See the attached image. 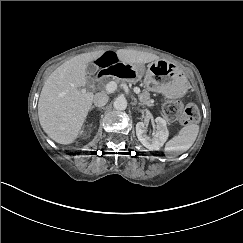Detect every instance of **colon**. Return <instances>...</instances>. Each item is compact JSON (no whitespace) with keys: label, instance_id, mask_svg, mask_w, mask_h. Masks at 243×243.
<instances>
[{"label":"colon","instance_id":"obj_1","mask_svg":"<svg viewBox=\"0 0 243 243\" xmlns=\"http://www.w3.org/2000/svg\"><path fill=\"white\" fill-rule=\"evenodd\" d=\"M163 113L168 119H180L182 125L193 124L199 120V111L195 105L184 106L181 101L175 99L164 103Z\"/></svg>","mask_w":243,"mask_h":243}]
</instances>
